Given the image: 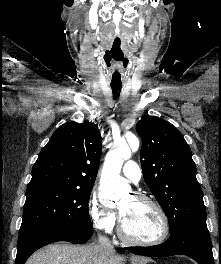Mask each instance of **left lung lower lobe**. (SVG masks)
I'll return each mask as SVG.
<instances>
[{
	"mask_svg": "<svg viewBox=\"0 0 221 264\" xmlns=\"http://www.w3.org/2000/svg\"><path fill=\"white\" fill-rule=\"evenodd\" d=\"M127 249L134 254L150 257L186 255L199 264H214L207 226L179 228L172 231L169 239L161 245Z\"/></svg>",
	"mask_w": 221,
	"mask_h": 264,
	"instance_id": "1",
	"label": "left lung lower lobe"
}]
</instances>
